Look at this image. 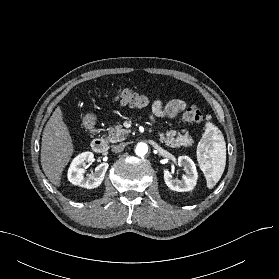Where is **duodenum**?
<instances>
[{
    "instance_id": "duodenum-1",
    "label": "duodenum",
    "mask_w": 279,
    "mask_h": 279,
    "mask_svg": "<svg viewBox=\"0 0 279 279\" xmlns=\"http://www.w3.org/2000/svg\"><path fill=\"white\" fill-rule=\"evenodd\" d=\"M89 129L93 131L92 126H89ZM91 148L96 153H104L108 148V144L105 139L101 137H95L91 142Z\"/></svg>"
}]
</instances>
